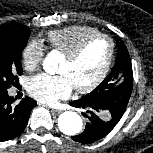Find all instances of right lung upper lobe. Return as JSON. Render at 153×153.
Returning <instances> with one entry per match:
<instances>
[{
  "mask_svg": "<svg viewBox=\"0 0 153 153\" xmlns=\"http://www.w3.org/2000/svg\"><path fill=\"white\" fill-rule=\"evenodd\" d=\"M16 27H21V25H18V24H4V25H0V28H16Z\"/></svg>",
  "mask_w": 153,
  "mask_h": 153,
  "instance_id": "1",
  "label": "right lung upper lobe"
}]
</instances>
